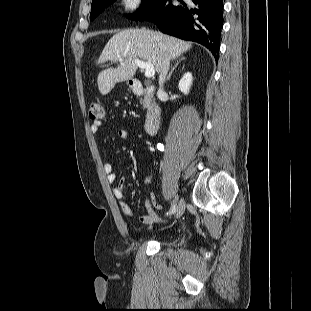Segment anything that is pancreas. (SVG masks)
I'll return each instance as SVG.
<instances>
[{"label": "pancreas", "mask_w": 311, "mask_h": 311, "mask_svg": "<svg viewBox=\"0 0 311 311\" xmlns=\"http://www.w3.org/2000/svg\"><path fill=\"white\" fill-rule=\"evenodd\" d=\"M142 104L144 107H146L149 102H150V99L148 97H144L142 100H141Z\"/></svg>", "instance_id": "pancreas-1"}]
</instances>
